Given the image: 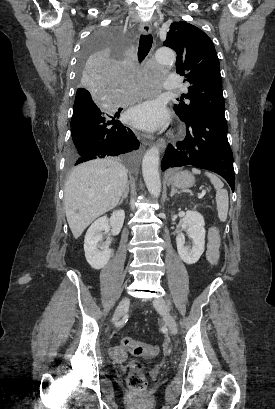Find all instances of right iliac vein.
<instances>
[{
    "mask_svg": "<svg viewBox=\"0 0 275 409\" xmlns=\"http://www.w3.org/2000/svg\"><path fill=\"white\" fill-rule=\"evenodd\" d=\"M130 303V299L128 296H125L119 305L116 308L115 314L113 316V322H117L120 317L124 314V312L128 309Z\"/></svg>",
    "mask_w": 275,
    "mask_h": 409,
    "instance_id": "obj_1",
    "label": "right iliac vein"
}]
</instances>
